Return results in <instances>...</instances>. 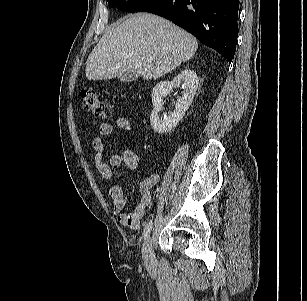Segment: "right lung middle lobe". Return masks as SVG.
Wrapping results in <instances>:
<instances>
[{"label":"right lung middle lobe","instance_id":"obj_1","mask_svg":"<svg viewBox=\"0 0 307 301\" xmlns=\"http://www.w3.org/2000/svg\"><path fill=\"white\" fill-rule=\"evenodd\" d=\"M155 0H108L111 7L126 12H139Z\"/></svg>","mask_w":307,"mask_h":301}]
</instances>
